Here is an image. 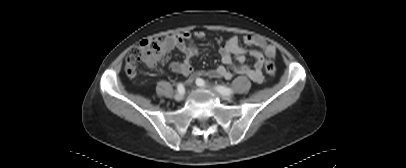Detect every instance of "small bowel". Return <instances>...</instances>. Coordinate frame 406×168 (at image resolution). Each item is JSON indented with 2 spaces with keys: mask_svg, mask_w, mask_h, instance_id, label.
I'll return each mask as SVG.
<instances>
[{
  "mask_svg": "<svg viewBox=\"0 0 406 168\" xmlns=\"http://www.w3.org/2000/svg\"><path fill=\"white\" fill-rule=\"evenodd\" d=\"M195 37L203 39L205 34L202 31H197L195 32ZM243 42L248 46L263 48L268 58L275 57V49L267 44V42L260 36L245 35L243 37ZM165 46L169 51L178 49L185 55L183 61L172 62L170 64V69L173 72L189 76L190 82L204 74L212 78H223L227 80L231 79L235 74H241L255 83L261 84L264 82L263 67L265 59L262 52L257 49L248 50L241 47L236 36L230 37L219 50L222 65L206 72L194 71L191 60L199 51L192 41L191 34L180 33L169 35L165 38ZM248 55L254 59L252 66L246 64V58ZM233 57L236 58L235 64L233 63Z\"/></svg>",
  "mask_w": 406,
  "mask_h": 168,
  "instance_id": "1",
  "label": "small bowel"
}]
</instances>
